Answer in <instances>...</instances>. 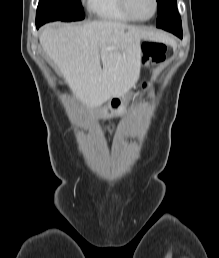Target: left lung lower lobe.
Listing matches in <instances>:
<instances>
[{"mask_svg":"<svg viewBox=\"0 0 219 258\" xmlns=\"http://www.w3.org/2000/svg\"><path fill=\"white\" fill-rule=\"evenodd\" d=\"M162 29L175 34L179 38H182V36H183V34H182V26H166V27H164Z\"/></svg>","mask_w":219,"mask_h":258,"instance_id":"0a47b994","label":"left lung lower lobe"}]
</instances>
